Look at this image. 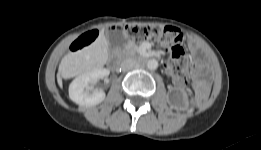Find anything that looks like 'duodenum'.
I'll return each mask as SVG.
<instances>
[{"mask_svg": "<svg viewBox=\"0 0 261 150\" xmlns=\"http://www.w3.org/2000/svg\"><path fill=\"white\" fill-rule=\"evenodd\" d=\"M119 63H120L119 57H114V58H112V59H111V62H110L111 67H112L113 69H117V68L119 67Z\"/></svg>", "mask_w": 261, "mask_h": 150, "instance_id": "410a0bca", "label": "duodenum"}]
</instances>
